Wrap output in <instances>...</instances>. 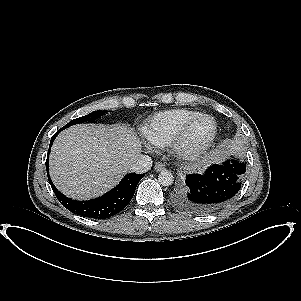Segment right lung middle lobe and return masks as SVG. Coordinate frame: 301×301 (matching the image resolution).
I'll return each instance as SVG.
<instances>
[{
    "instance_id": "right-lung-middle-lobe-1",
    "label": "right lung middle lobe",
    "mask_w": 301,
    "mask_h": 301,
    "mask_svg": "<svg viewBox=\"0 0 301 301\" xmlns=\"http://www.w3.org/2000/svg\"><path fill=\"white\" fill-rule=\"evenodd\" d=\"M106 111H94L88 115L72 120L70 123L66 124L63 129L72 126L74 124L82 123L84 121L94 122L95 119L100 118Z\"/></svg>"
}]
</instances>
